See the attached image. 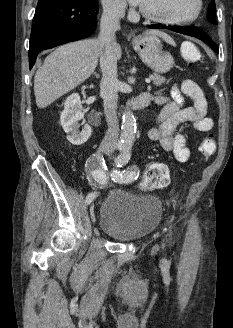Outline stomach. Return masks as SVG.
<instances>
[{
  "instance_id": "obj_1",
  "label": "stomach",
  "mask_w": 233,
  "mask_h": 328,
  "mask_svg": "<svg viewBox=\"0 0 233 328\" xmlns=\"http://www.w3.org/2000/svg\"><path fill=\"white\" fill-rule=\"evenodd\" d=\"M133 46L143 62L157 73H166L172 68L174 59L170 53L163 51L161 40L156 35L135 37Z\"/></svg>"
}]
</instances>
